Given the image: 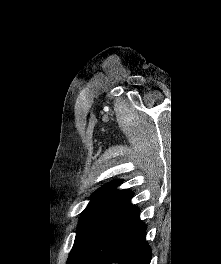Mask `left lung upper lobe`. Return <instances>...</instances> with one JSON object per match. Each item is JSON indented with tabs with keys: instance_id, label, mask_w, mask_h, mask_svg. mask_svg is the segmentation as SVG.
<instances>
[{
	"instance_id": "1",
	"label": "left lung upper lobe",
	"mask_w": 221,
	"mask_h": 264,
	"mask_svg": "<svg viewBox=\"0 0 221 264\" xmlns=\"http://www.w3.org/2000/svg\"><path fill=\"white\" fill-rule=\"evenodd\" d=\"M120 184V180H114L99 188L92 195L89 205L81 214L74 248L99 221L132 194L130 190H115Z\"/></svg>"
}]
</instances>
